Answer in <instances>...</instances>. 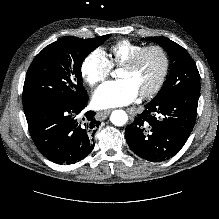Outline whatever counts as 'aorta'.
<instances>
[{
  "label": "aorta",
  "mask_w": 219,
  "mask_h": 219,
  "mask_svg": "<svg viewBox=\"0 0 219 219\" xmlns=\"http://www.w3.org/2000/svg\"><path fill=\"white\" fill-rule=\"evenodd\" d=\"M110 121L115 126H123L128 121V115L124 110H114L110 116Z\"/></svg>",
  "instance_id": "aorta-1"
}]
</instances>
